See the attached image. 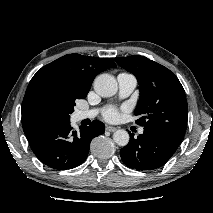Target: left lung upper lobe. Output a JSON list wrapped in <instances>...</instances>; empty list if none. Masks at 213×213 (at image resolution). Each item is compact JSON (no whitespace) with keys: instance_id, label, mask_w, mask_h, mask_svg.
<instances>
[{"instance_id":"left-lung-upper-lobe-1","label":"left lung upper lobe","mask_w":213,"mask_h":213,"mask_svg":"<svg viewBox=\"0 0 213 213\" xmlns=\"http://www.w3.org/2000/svg\"><path fill=\"white\" fill-rule=\"evenodd\" d=\"M115 61L132 72L139 83L140 98L134 114L144 128L166 131L183 138L188 119L185 91L175 74L144 57H117Z\"/></svg>"}]
</instances>
